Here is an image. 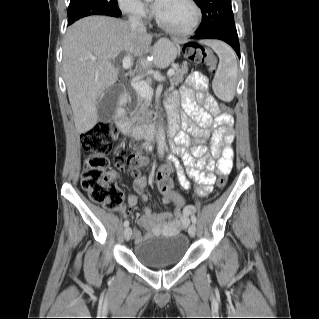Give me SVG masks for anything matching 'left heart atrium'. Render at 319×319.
I'll list each match as a JSON object with an SVG mask.
<instances>
[{
    "label": "left heart atrium",
    "mask_w": 319,
    "mask_h": 319,
    "mask_svg": "<svg viewBox=\"0 0 319 319\" xmlns=\"http://www.w3.org/2000/svg\"><path fill=\"white\" fill-rule=\"evenodd\" d=\"M159 1H161V0H157L156 2L153 3V8H154L155 10H157V9L159 8V6H160Z\"/></svg>",
    "instance_id": "left-heart-atrium-1"
}]
</instances>
